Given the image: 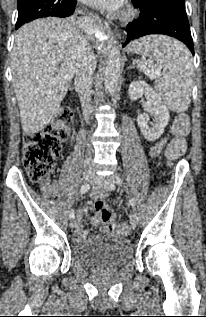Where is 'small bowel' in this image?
<instances>
[{"mask_svg": "<svg viewBox=\"0 0 206 317\" xmlns=\"http://www.w3.org/2000/svg\"><path fill=\"white\" fill-rule=\"evenodd\" d=\"M168 138L165 137V138H162L160 139L158 142H156L150 149L149 151V154L152 156V157H156L160 154V152L162 151V149L164 148L166 142H167ZM56 191H57V188L56 186L54 185L52 190H51V194L52 195H55L56 194ZM105 196V192L99 188H95L92 193H91V197L93 199H97V198H101V197H104ZM87 213V210L86 209H80L78 211V214L79 215H85ZM92 222L94 224H99V220L96 219V218H93L92 219ZM110 230V228L108 226H103L101 228V232L102 233H106ZM88 235L87 231L83 230L81 228L80 225H77V228L75 230V233H74V236L77 240H81L83 238H85L86 236Z\"/></svg>", "mask_w": 206, "mask_h": 317, "instance_id": "c3829d8e", "label": "small bowel"}]
</instances>
